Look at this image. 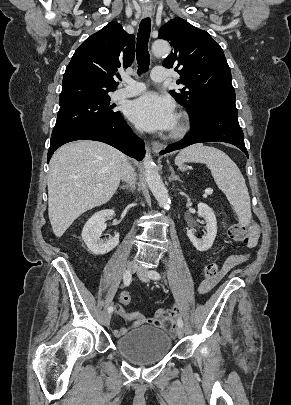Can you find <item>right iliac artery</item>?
I'll return each instance as SVG.
<instances>
[{"instance_id":"right-iliac-artery-1","label":"right iliac artery","mask_w":291,"mask_h":405,"mask_svg":"<svg viewBox=\"0 0 291 405\" xmlns=\"http://www.w3.org/2000/svg\"><path fill=\"white\" fill-rule=\"evenodd\" d=\"M131 281H132V275H131V273H130L129 271H126V272L124 273V276H123L124 285H125V286H128V285L131 283ZM108 312H109V313H112V312H113V307H112V306H109V307H108Z\"/></svg>"}]
</instances>
